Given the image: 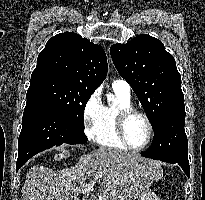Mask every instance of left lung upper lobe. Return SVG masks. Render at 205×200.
<instances>
[{"instance_id": "1", "label": "left lung upper lobe", "mask_w": 205, "mask_h": 200, "mask_svg": "<svg viewBox=\"0 0 205 200\" xmlns=\"http://www.w3.org/2000/svg\"><path fill=\"white\" fill-rule=\"evenodd\" d=\"M110 53L119 74L141 102L153 129L168 110L184 105L175 59L160 40L138 35L127 44L112 45Z\"/></svg>"}]
</instances>
